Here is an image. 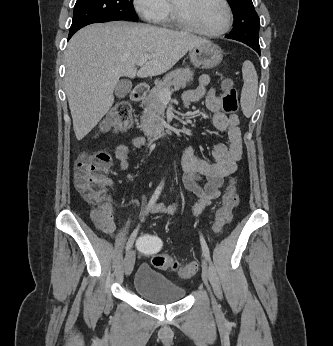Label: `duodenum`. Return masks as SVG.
Instances as JSON below:
<instances>
[{"mask_svg": "<svg viewBox=\"0 0 333 346\" xmlns=\"http://www.w3.org/2000/svg\"><path fill=\"white\" fill-rule=\"evenodd\" d=\"M147 94V87L144 85H137L131 94V98L135 102H139ZM171 133V130L169 128H163V129H158V130H149L147 131L146 135L147 137L152 140V141H157L160 139H163L167 137Z\"/></svg>", "mask_w": 333, "mask_h": 346, "instance_id": "obj_1", "label": "duodenum"}]
</instances>
